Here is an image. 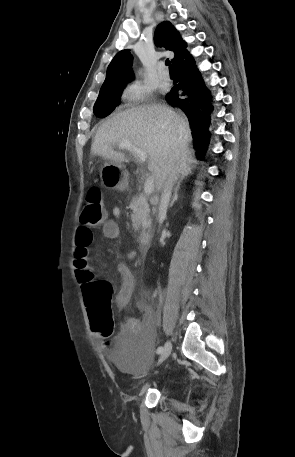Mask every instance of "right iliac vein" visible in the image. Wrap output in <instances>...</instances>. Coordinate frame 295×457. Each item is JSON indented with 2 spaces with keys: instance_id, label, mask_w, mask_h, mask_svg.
<instances>
[{
  "instance_id": "right-iliac-vein-1",
  "label": "right iliac vein",
  "mask_w": 295,
  "mask_h": 457,
  "mask_svg": "<svg viewBox=\"0 0 295 457\" xmlns=\"http://www.w3.org/2000/svg\"><path fill=\"white\" fill-rule=\"evenodd\" d=\"M171 351H172V343H171V341H167V343L163 347L162 352L160 353V357L158 359L157 365H160L163 361H165L169 357Z\"/></svg>"
}]
</instances>
